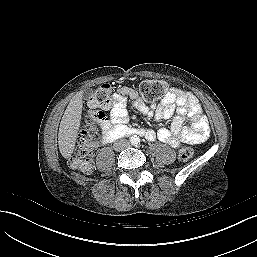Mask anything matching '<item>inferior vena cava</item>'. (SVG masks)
I'll return each mask as SVG.
<instances>
[{"instance_id": "obj_1", "label": "inferior vena cava", "mask_w": 257, "mask_h": 257, "mask_svg": "<svg viewBox=\"0 0 257 257\" xmlns=\"http://www.w3.org/2000/svg\"><path fill=\"white\" fill-rule=\"evenodd\" d=\"M129 147V142L126 139H119L114 143L116 151L124 150Z\"/></svg>"}]
</instances>
